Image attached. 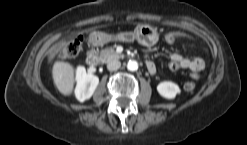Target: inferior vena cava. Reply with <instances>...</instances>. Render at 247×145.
I'll return each mask as SVG.
<instances>
[{
  "label": "inferior vena cava",
  "mask_w": 247,
  "mask_h": 145,
  "mask_svg": "<svg viewBox=\"0 0 247 145\" xmlns=\"http://www.w3.org/2000/svg\"><path fill=\"white\" fill-rule=\"evenodd\" d=\"M120 66H121V62L119 60H116V59H111L107 63V69L109 71L118 70L120 68Z\"/></svg>",
  "instance_id": "602c4592"
}]
</instances>
